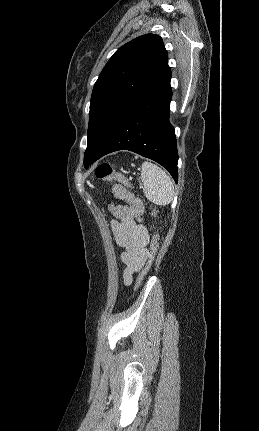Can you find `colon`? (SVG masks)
Segmentation results:
<instances>
[{
  "mask_svg": "<svg viewBox=\"0 0 259 431\" xmlns=\"http://www.w3.org/2000/svg\"><path fill=\"white\" fill-rule=\"evenodd\" d=\"M95 174L97 178L113 183V193L114 195L126 202L117 203L115 206H110V215L115 216L118 220H134L140 218L144 212H146V207L142 201L137 200L133 194L130 192V183L126 177L118 171H115L113 167L108 163L100 164L96 170ZM155 215V211L152 212ZM159 247L158 234L154 232L153 238L149 246L148 259L145 266L138 275L136 282V290H138L143 281L145 280L147 274L151 270L155 257L157 255Z\"/></svg>",
  "mask_w": 259,
  "mask_h": 431,
  "instance_id": "colon-1",
  "label": "colon"
}]
</instances>
